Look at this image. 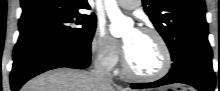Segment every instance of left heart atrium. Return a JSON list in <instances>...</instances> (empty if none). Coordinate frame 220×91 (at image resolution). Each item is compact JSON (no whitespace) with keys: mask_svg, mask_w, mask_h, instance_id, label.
Wrapping results in <instances>:
<instances>
[{"mask_svg":"<svg viewBox=\"0 0 220 91\" xmlns=\"http://www.w3.org/2000/svg\"><path fill=\"white\" fill-rule=\"evenodd\" d=\"M126 46H127V42L124 43V47H126Z\"/></svg>","mask_w":220,"mask_h":91,"instance_id":"39dd6f15","label":"left heart atrium"}]
</instances>
